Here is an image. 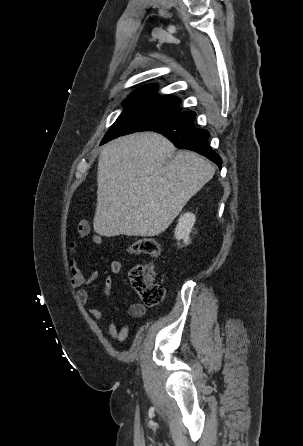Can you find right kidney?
<instances>
[{
    "label": "right kidney",
    "mask_w": 303,
    "mask_h": 446,
    "mask_svg": "<svg viewBox=\"0 0 303 446\" xmlns=\"http://www.w3.org/2000/svg\"><path fill=\"white\" fill-rule=\"evenodd\" d=\"M195 221V215L190 212L181 215L174 231L175 238L178 241L183 240V243L188 245L190 243L189 235L193 229Z\"/></svg>",
    "instance_id": "ca27d5eb"
}]
</instances>
